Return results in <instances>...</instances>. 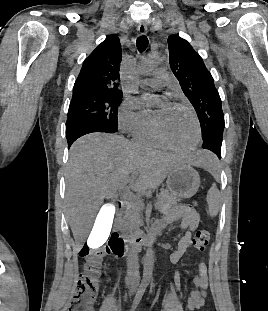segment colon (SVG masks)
<instances>
[{"label": "colon", "instance_id": "5ec220e1", "mask_svg": "<svg viewBox=\"0 0 268 311\" xmlns=\"http://www.w3.org/2000/svg\"><path fill=\"white\" fill-rule=\"evenodd\" d=\"M209 240L208 230L198 231L193 239L194 248L203 251ZM110 253L111 250L104 246H100L99 249H90V246L86 244L82 247L80 251V257L83 260L82 272L66 311H94L103 259Z\"/></svg>", "mask_w": 268, "mask_h": 311}]
</instances>
